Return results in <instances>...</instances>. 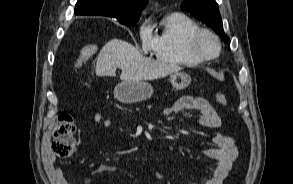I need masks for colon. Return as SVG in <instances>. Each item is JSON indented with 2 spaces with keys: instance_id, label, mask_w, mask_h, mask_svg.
Returning <instances> with one entry per match:
<instances>
[{
  "instance_id": "1",
  "label": "colon",
  "mask_w": 293,
  "mask_h": 184,
  "mask_svg": "<svg viewBox=\"0 0 293 184\" xmlns=\"http://www.w3.org/2000/svg\"><path fill=\"white\" fill-rule=\"evenodd\" d=\"M96 52L97 46L95 44L82 48L76 59L75 66H81L85 61L92 58ZM215 99L223 106L228 104V99L222 92H216ZM75 131L76 124L73 117L67 112L59 113L53 129L52 157L64 159L73 154L76 145L74 139Z\"/></svg>"
}]
</instances>
